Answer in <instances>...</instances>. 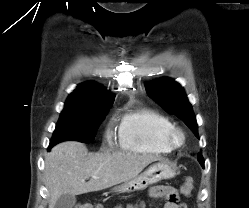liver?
Returning <instances> with one entry per match:
<instances>
[{
	"label": "liver",
	"mask_w": 249,
	"mask_h": 208,
	"mask_svg": "<svg viewBox=\"0 0 249 208\" xmlns=\"http://www.w3.org/2000/svg\"><path fill=\"white\" fill-rule=\"evenodd\" d=\"M158 160L161 158L149 154L109 151L89 154L80 142L59 143L45 157L44 178L50 193L49 208H54L63 194L75 196L128 182ZM89 177L91 179L86 182Z\"/></svg>",
	"instance_id": "1"
}]
</instances>
